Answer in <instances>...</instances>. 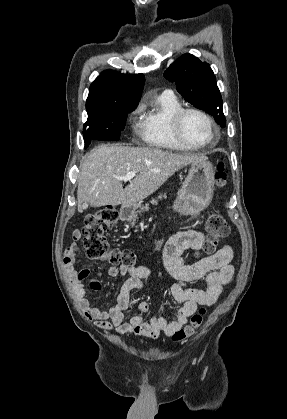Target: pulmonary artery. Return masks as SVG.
<instances>
[{"label": "pulmonary artery", "mask_w": 287, "mask_h": 419, "mask_svg": "<svg viewBox=\"0 0 287 419\" xmlns=\"http://www.w3.org/2000/svg\"><path fill=\"white\" fill-rule=\"evenodd\" d=\"M163 93H165V94H171L172 92L170 90H165Z\"/></svg>", "instance_id": "obj_1"}]
</instances>
